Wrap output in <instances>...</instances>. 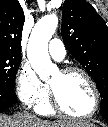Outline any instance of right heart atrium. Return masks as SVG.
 I'll return each mask as SVG.
<instances>
[{"instance_id": "right-heart-atrium-1", "label": "right heart atrium", "mask_w": 108, "mask_h": 127, "mask_svg": "<svg viewBox=\"0 0 108 127\" xmlns=\"http://www.w3.org/2000/svg\"><path fill=\"white\" fill-rule=\"evenodd\" d=\"M15 90L23 103L33 106L45 98L48 87L38 78L29 64L22 63L15 76Z\"/></svg>"}]
</instances>
